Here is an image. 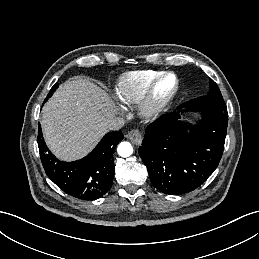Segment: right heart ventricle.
Returning <instances> with one entry per match:
<instances>
[{
	"label": "right heart ventricle",
	"instance_id": "e07e8e85",
	"mask_svg": "<svg viewBox=\"0 0 259 259\" xmlns=\"http://www.w3.org/2000/svg\"><path fill=\"white\" fill-rule=\"evenodd\" d=\"M162 72L154 70H138L123 74L116 88L117 99L126 105L137 103L148 85Z\"/></svg>",
	"mask_w": 259,
	"mask_h": 259
}]
</instances>
